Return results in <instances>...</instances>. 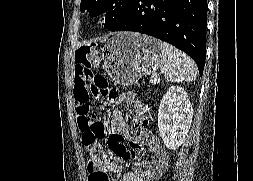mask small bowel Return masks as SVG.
Here are the masks:
<instances>
[{"label":"small bowel","instance_id":"1","mask_svg":"<svg viewBox=\"0 0 253 181\" xmlns=\"http://www.w3.org/2000/svg\"><path fill=\"white\" fill-rule=\"evenodd\" d=\"M90 71L83 65H76L73 80V95L75 100V112L78 116L80 101L87 90V81ZM133 104L136 112L135 124L142 131L139 136L129 138L128 120L118 108L112 112L110 122L109 147L115 159H105L98 165L88 162V181H112L108 173L120 178V181H154L169 166L170 157L168 152L160 145L158 138L152 134L148 128V122L143 118L145 105L143 102L135 100L131 92H123L118 98V104ZM129 138V149H126L123 141ZM149 150L152 160L144 165L135 166L129 170H124L121 162L129 158L139 157L144 148Z\"/></svg>","mask_w":253,"mask_h":181}]
</instances>
